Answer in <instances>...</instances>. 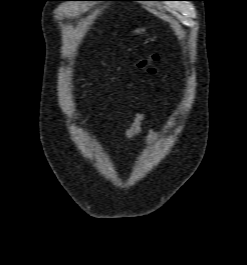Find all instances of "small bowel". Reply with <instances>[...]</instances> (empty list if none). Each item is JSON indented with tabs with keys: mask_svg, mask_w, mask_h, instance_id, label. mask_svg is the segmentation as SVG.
<instances>
[{
	"mask_svg": "<svg viewBox=\"0 0 247 265\" xmlns=\"http://www.w3.org/2000/svg\"><path fill=\"white\" fill-rule=\"evenodd\" d=\"M144 120H145V114L143 112H139L135 115L134 119L132 120L129 128L127 129L124 135L127 141H131L139 135ZM156 138H157V128L155 125H152L149 128L148 134L144 138L143 143L145 145H152L156 141Z\"/></svg>",
	"mask_w": 247,
	"mask_h": 265,
	"instance_id": "c3829d8e",
	"label": "small bowel"
}]
</instances>
